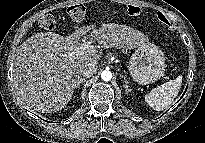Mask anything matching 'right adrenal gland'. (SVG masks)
<instances>
[{
  "label": "right adrenal gland",
  "mask_w": 205,
  "mask_h": 143,
  "mask_svg": "<svg viewBox=\"0 0 205 143\" xmlns=\"http://www.w3.org/2000/svg\"><path fill=\"white\" fill-rule=\"evenodd\" d=\"M85 81H86L85 78L80 79L79 82L77 83V87H80V84L84 83Z\"/></svg>",
  "instance_id": "2a0ac1e0"
}]
</instances>
